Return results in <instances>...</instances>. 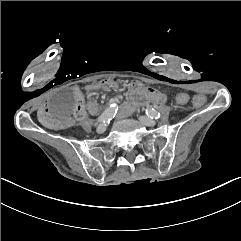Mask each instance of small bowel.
Returning <instances> with one entry per match:
<instances>
[{"label":"small bowel","instance_id":"c3829d8e","mask_svg":"<svg viewBox=\"0 0 241 241\" xmlns=\"http://www.w3.org/2000/svg\"><path fill=\"white\" fill-rule=\"evenodd\" d=\"M131 87L134 89H143L145 86L141 84L138 81H132L131 82ZM117 87V83L108 80L104 81L101 83H94L88 87L90 90H99V89H104V90H111L115 89ZM120 89L122 91H127L129 89V84L127 82H122L120 84ZM145 89V95L148 97L150 100L158 101V102H163L165 100V95L163 93H158L157 90L155 89H150L147 86L144 88ZM89 109L92 113H95L97 111V104L95 101L91 100L89 101ZM49 103L47 101H42L40 103V108H39V113H40V118L42 119V122L45 124L47 128H52V129H59L61 127V122L59 120H54L51 119L49 116Z\"/></svg>","mask_w":241,"mask_h":241}]
</instances>
